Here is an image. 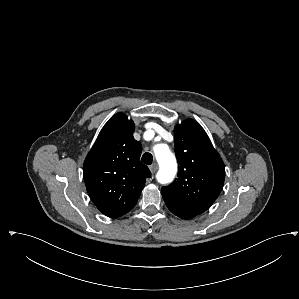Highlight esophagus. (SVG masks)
Listing matches in <instances>:
<instances>
[{"label": "esophagus", "instance_id": "1", "mask_svg": "<svg viewBox=\"0 0 299 299\" xmlns=\"http://www.w3.org/2000/svg\"><path fill=\"white\" fill-rule=\"evenodd\" d=\"M149 169L152 173H155L158 170V165L156 163L149 166Z\"/></svg>", "mask_w": 299, "mask_h": 299}]
</instances>
